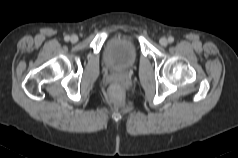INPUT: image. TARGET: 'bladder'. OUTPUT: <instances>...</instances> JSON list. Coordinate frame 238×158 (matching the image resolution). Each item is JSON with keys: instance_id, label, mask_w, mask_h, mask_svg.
<instances>
[{"instance_id": "1", "label": "bladder", "mask_w": 238, "mask_h": 158, "mask_svg": "<svg viewBox=\"0 0 238 158\" xmlns=\"http://www.w3.org/2000/svg\"><path fill=\"white\" fill-rule=\"evenodd\" d=\"M104 58L111 68L125 70L136 63L138 52L131 38L117 36L107 42L104 50Z\"/></svg>"}]
</instances>
